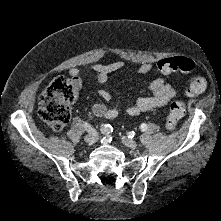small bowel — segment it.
Here are the masks:
<instances>
[{
	"instance_id": "c3829d8e",
	"label": "small bowel",
	"mask_w": 221,
	"mask_h": 221,
	"mask_svg": "<svg viewBox=\"0 0 221 221\" xmlns=\"http://www.w3.org/2000/svg\"><path fill=\"white\" fill-rule=\"evenodd\" d=\"M125 66V62L118 60L109 64H92L90 65V71L95 74L96 81L99 85H104L111 73L118 71ZM154 68V65L150 62L143 63L137 69L139 75L146 74ZM83 72L78 68H71L69 75L71 76L72 84L79 90L82 86ZM148 91L150 95L140 96L135 102L129 105L126 112L130 116L139 115L142 112L151 110L153 108L161 107L168 104L175 96L174 88L167 83L163 78L158 77L148 85ZM99 96L106 102L112 99L109 91L100 89L98 91ZM92 113L98 117H105L113 119L117 117L119 111L114 106H106L103 103H95L92 106Z\"/></svg>"
}]
</instances>
